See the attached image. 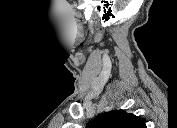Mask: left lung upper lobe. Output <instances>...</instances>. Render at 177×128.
Wrapping results in <instances>:
<instances>
[{
    "mask_svg": "<svg viewBox=\"0 0 177 128\" xmlns=\"http://www.w3.org/2000/svg\"><path fill=\"white\" fill-rule=\"evenodd\" d=\"M92 128H145L142 119L134 114L113 110L98 116L91 123Z\"/></svg>",
    "mask_w": 177,
    "mask_h": 128,
    "instance_id": "5c2ea615",
    "label": "left lung upper lobe"
}]
</instances>
